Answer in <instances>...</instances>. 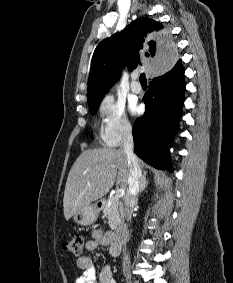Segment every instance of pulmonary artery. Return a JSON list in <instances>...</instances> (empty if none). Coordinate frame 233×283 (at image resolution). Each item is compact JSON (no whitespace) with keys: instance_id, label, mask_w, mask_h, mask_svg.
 I'll return each mask as SVG.
<instances>
[{"instance_id":"pulmonary-artery-1","label":"pulmonary artery","mask_w":233,"mask_h":283,"mask_svg":"<svg viewBox=\"0 0 233 283\" xmlns=\"http://www.w3.org/2000/svg\"><path fill=\"white\" fill-rule=\"evenodd\" d=\"M138 78H139V76H138L137 73H134L132 75L131 91L133 93H136V94H139L142 91V87H141L140 83L138 82Z\"/></svg>"}]
</instances>
